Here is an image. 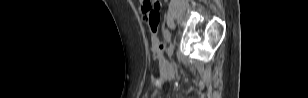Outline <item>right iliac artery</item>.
Returning <instances> with one entry per match:
<instances>
[{"label": "right iliac artery", "instance_id": "obj_1", "mask_svg": "<svg viewBox=\"0 0 308 98\" xmlns=\"http://www.w3.org/2000/svg\"><path fill=\"white\" fill-rule=\"evenodd\" d=\"M163 34H164V38H165L166 42L169 43L170 39H171V35H170L169 31L163 30Z\"/></svg>", "mask_w": 308, "mask_h": 98}]
</instances>
